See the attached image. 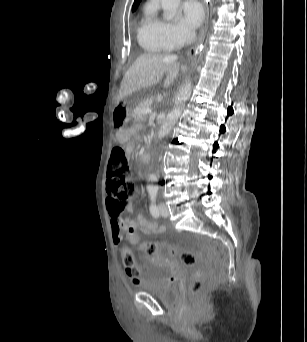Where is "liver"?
Listing matches in <instances>:
<instances>
[{"mask_svg": "<svg viewBox=\"0 0 307 342\" xmlns=\"http://www.w3.org/2000/svg\"><path fill=\"white\" fill-rule=\"evenodd\" d=\"M180 70L185 72L187 68L173 60L170 54H141L124 74L117 100H124L141 88L159 84L164 74H167L166 82L171 84Z\"/></svg>", "mask_w": 307, "mask_h": 342, "instance_id": "obj_1", "label": "liver"}]
</instances>
